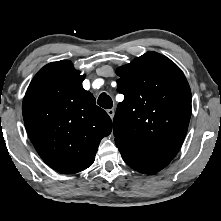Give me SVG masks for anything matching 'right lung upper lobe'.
<instances>
[{"instance_id": "obj_1", "label": "right lung upper lobe", "mask_w": 221, "mask_h": 221, "mask_svg": "<svg viewBox=\"0 0 221 221\" xmlns=\"http://www.w3.org/2000/svg\"><path fill=\"white\" fill-rule=\"evenodd\" d=\"M84 79L69 60L49 63L35 75L23 100L25 127L36 151L64 174L91 166L101 139L112 131L109 115L82 87Z\"/></svg>"}]
</instances>
